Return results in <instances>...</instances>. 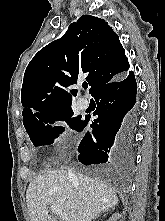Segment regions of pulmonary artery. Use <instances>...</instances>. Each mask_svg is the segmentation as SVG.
<instances>
[{
	"label": "pulmonary artery",
	"mask_w": 165,
	"mask_h": 221,
	"mask_svg": "<svg viewBox=\"0 0 165 221\" xmlns=\"http://www.w3.org/2000/svg\"><path fill=\"white\" fill-rule=\"evenodd\" d=\"M78 107L81 109V110H86L88 107H89V100L86 99V98H80L78 100Z\"/></svg>",
	"instance_id": "pulmonary-artery-1"
}]
</instances>
